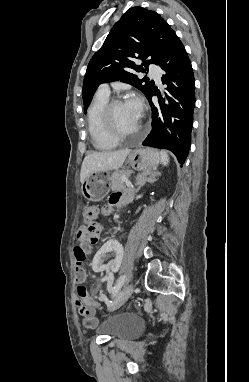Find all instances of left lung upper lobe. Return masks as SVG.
<instances>
[{
    "instance_id": "left-lung-upper-lobe-1",
    "label": "left lung upper lobe",
    "mask_w": 249,
    "mask_h": 382,
    "mask_svg": "<svg viewBox=\"0 0 249 382\" xmlns=\"http://www.w3.org/2000/svg\"><path fill=\"white\" fill-rule=\"evenodd\" d=\"M176 38L175 32L155 11L142 7L128 9L88 64L82 91L84 112L101 83L120 80L148 96L154 82L145 77L139 79L134 72H144L149 63L159 65ZM137 59L143 61L142 65L135 63Z\"/></svg>"
}]
</instances>
